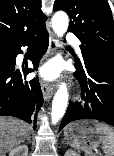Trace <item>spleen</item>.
I'll return each instance as SVG.
<instances>
[{
  "instance_id": "spleen-1",
  "label": "spleen",
  "mask_w": 114,
  "mask_h": 156,
  "mask_svg": "<svg viewBox=\"0 0 114 156\" xmlns=\"http://www.w3.org/2000/svg\"><path fill=\"white\" fill-rule=\"evenodd\" d=\"M98 130L104 135L102 149L105 156H114V129L107 124H98Z\"/></svg>"
}]
</instances>
